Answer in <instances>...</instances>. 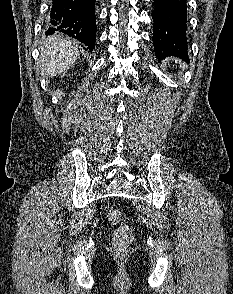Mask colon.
<instances>
[{
    "label": "colon",
    "instance_id": "colon-1",
    "mask_svg": "<svg viewBox=\"0 0 233 294\" xmlns=\"http://www.w3.org/2000/svg\"><path fill=\"white\" fill-rule=\"evenodd\" d=\"M108 218L113 224L119 226L113 235V245L117 251L124 252L132 243V231L130 227L123 222L119 210L111 209L108 212Z\"/></svg>",
    "mask_w": 233,
    "mask_h": 294
}]
</instances>
